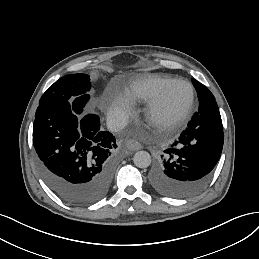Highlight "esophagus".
I'll list each match as a JSON object with an SVG mask.
<instances>
[{"label": "esophagus", "mask_w": 259, "mask_h": 259, "mask_svg": "<svg viewBox=\"0 0 259 259\" xmlns=\"http://www.w3.org/2000/svg\"><path fill=\"white\" fill-rule=\"evenodd\" d=\"M126 146L131 151H137V150L142 149V145L134 139H129L126 142Z\"/></svg>", "instance_id": "34e87169"}]
</instances>
